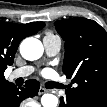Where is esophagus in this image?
<instances>
[{"label": "esophagus", "mask_w": 107, "mask_h": 107, "mask_svg": "<svg viewBox=\"0 0 107 107\" xmlns=\"http://www.w3.org/2000/svg\"><path fill=\"white\" fill-rule=\"evenodd\" d=\"M46 92H47V90H46L44 87L41 86V87L39 88L38 94H39V95H42V94H44V93H46Z\"/></svg>", "instance_id": "1"}]
</instances>
